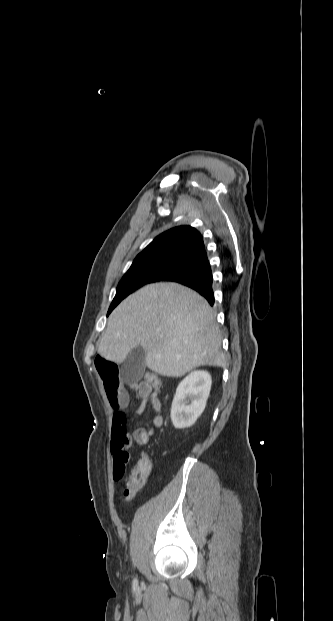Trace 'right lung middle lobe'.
<instances>
[{"mask_svg":"<svg viewBox=\"0 0 333 621\" xmlns=\"http://www.w3.org/2000/svg\"><path fill=\"white\" fill-rule=\"evenodd\" d=\"M184 260L181 258H162L133 262L117 287L116 295L109 307L107 316L126 296L143 285L161 281L164 276L176 270Z\"/></svg>","mask_w":333,"mask_h":621,"instance_id":"dd1d6c3e","label":"right lung middle lobe"}]
</instances>
